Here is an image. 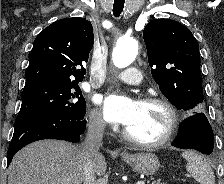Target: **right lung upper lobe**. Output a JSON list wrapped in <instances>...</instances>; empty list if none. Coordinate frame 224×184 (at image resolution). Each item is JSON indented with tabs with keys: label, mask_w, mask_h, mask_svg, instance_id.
Wrapping results in <instances>:
<instances>
[{
	"label": "right lung upper lobe",
	"mask_w": 224,
	"mask_h": 184,
	"mask_svg": "<svg viewBox=\"0 0 224 184\" xmlns=\"http://www.w3.org/2000/svg\"><path fill=\"white\" fill-rule=\"evenodd\" d=\"M93 43L92 25L85 18L57 20L35 38L25 83L82 81Z\"/></svg>",
	"instance_id": "cb5924a9"
}]
</instances>
